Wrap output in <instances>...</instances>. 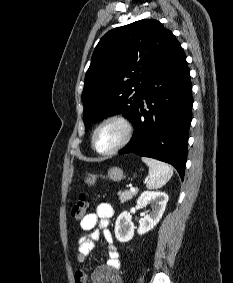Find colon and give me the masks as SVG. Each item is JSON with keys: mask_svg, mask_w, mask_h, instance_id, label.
Listing matches in <instances>:
<instances>
[{"mask_svg": "<svg viewBox=\"0 0 233 283\" xmlns=\"http://www.w3.org/2000/svg\"><path fill=\"white\" fill-rule=\"evenodd\" d=\"M87 209H88L87 197L84 193H81L79 195V200L74 204L71 210V216L73 220L81 223V221L87 215L86 214Z\"/></svg>", "mask_w": 233, "mask_h": 283, "instance_id": "5ec220e1", "label": "colon"}]
</instances>
